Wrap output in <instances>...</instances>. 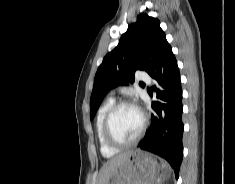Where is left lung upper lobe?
<instances>
[{"mask_svg":"<svg viewBox=\"0 0 235 184\" xmlns=\"http://www.w3.org/2000/svg\"><path fill=\"white\" fill-rule=\"evenodd\" d=\"M164 40L165 33L158 19L144 13L137 16L136 23L129 25L118 46L98 67L90 99L91 120L110 89L132 83L136 70L150 72L158 47Z\"/></svg>","mask_w":235,"mask_h":184,"instance_id":"obj_1","label":"left lung upper lobe"}]
</instances>
